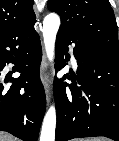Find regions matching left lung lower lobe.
Listing matches in <instances>:
<instances>
[{
	"label": "left lung lower lobe",
	"mask_w": 119,
	"mask_h": 141,
	"mask_svg": "<svg viewBox=\"0 0 119 141\" xmlns=\"http://www.w3.org/2000/svg\"><path fill=\"white\" fill-rule=\"evenodd\" d=\"M74 43L77 81H54L57 110L56 141L104 136L119 141V55L96 50L81 37L59 29L56 38V71L66 64L64 55ZM69 59L70 55L67 54ZM69 78V74L64 76Z\"/></svg>",
	"instance_id": "left-lung-lower-lobe-1"
}]
</instances>
